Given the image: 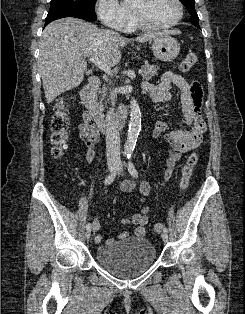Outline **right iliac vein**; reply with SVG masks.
Segmentation results:
<instances>
[{"label":"right iliac vein","mask_w":245,"mask_h":314,"mask_svg":"<svg viewBox=\"0 0 245 314\" xmlns=\"http://www.w3.org/2000/svg\"><path fill=\"white\" fill-rule=\"evenodd\" d=\"M115 167H116V163H115V162H110V163L108 164V169H109V171H111V172L115 169ZM90 236H91V229H89V230L86 231V238L89 239Z\"/></svg>","instance_id":"right-iliac-vein-1"}]
</instances>
